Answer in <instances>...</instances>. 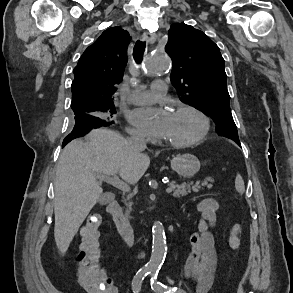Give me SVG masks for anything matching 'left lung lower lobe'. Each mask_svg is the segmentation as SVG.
I'll return each instance as SVG.
<instances>
[{
    "label": "left lung lower lobe",
    "mask_w": 293,
    "mask_h": 293,
    "mask_svg": "<svg viewBox=\"0 0 293 293\" xmlns=\"http://www.w3.org/2000/svg\"><path fill=\"white\" fill-rule=\"evenodd\" d=\"M238 145H240V142H236Z\"/></svg>",
    "instance_id": "obj_1"
}]
</instances>
